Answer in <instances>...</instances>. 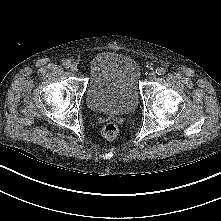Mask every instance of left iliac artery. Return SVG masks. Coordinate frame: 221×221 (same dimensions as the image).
Instances as JSON below:
<instances>
[{"label":"left iliac artery","mask_w":221,"mask_h":221,"mask_svg":"<svg viewBox=\"0 0 221 221\" xmlns=\"http://www.w3.org/2000/svg\"><path fill=\"white\" fill-rule=\"evenodd\" d=\"M165 69L163 68V67H159V68H157L156 69V73H157V75H164L165 74Z\"/></svg>","instance_id":"obj_1"}]
</instances>
